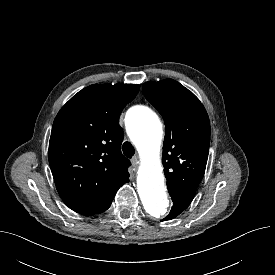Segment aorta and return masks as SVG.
Masks as SVG:
<instances>
[{"instance_id": "obj_1", "label": "aorta", "mask_w": 275, "mask_h": 275, "mask_svg": "<svg viewBox=\"0 0 275 275\" xmlns=\"http://www.w3.org/2000/svg\"><path fill=\"white\" fill-rule=\"evenodd\" d=\"M128 134L136 145L142 164L138 173V193L147 215L163 218L169 209L160 161L162 123L151 109L135 106L127 113Z\"/></svg>"}]
</instances>
